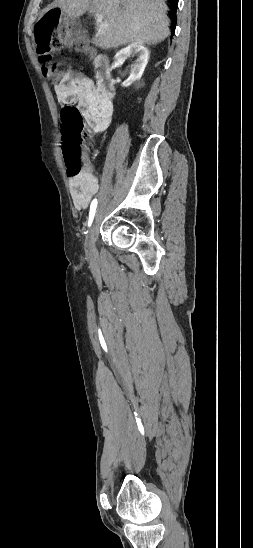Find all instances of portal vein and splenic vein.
I'll list each match as a JSON object with an SVG mask.
<instances>
[{
  "label": "portal vein and splenic vein",
  "mask_w": 253,
  "mask_h": 548,
  "mask_svg": "<svg viewBox=\"0 0 253 548\" xmlns=\"http://www.w3.org/2000/svg\"><path fill=\"white\" fill-rule=\"evenodd\" d=\"M102 20H103V17H102L101 15H98V16L96 17V23L99 25V28H100V29L104 27V26L102 25ZM100 29H99V31H100Z\"/></svg>",
  "instance_id": "1"
}]
</instances>
